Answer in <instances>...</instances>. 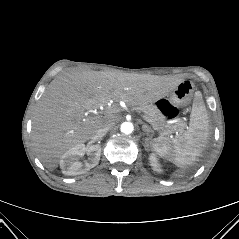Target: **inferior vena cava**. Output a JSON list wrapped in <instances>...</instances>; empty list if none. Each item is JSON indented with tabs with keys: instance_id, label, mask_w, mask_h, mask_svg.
<instances>
[{
	"instance_id": "inferior-vena-cava-1",
	"label": "inferior vena cava",
	"mask_w": 239,
	"mask_h": 239,
	"mask_svg": "<svg viewBox=\"0 0 239 239\" xmlns=\"http://www.w3.org/2000/svg\"><path fill=\"white\" fill-rule=\"evenodd\" d=\"M113 125L114 123L112 121H106L102 123L99 129L96 131V134L98 136L105 135L112 128Z\"/></svg>"
}]
</instances>
